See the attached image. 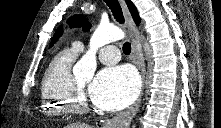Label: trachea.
Here are the masks:
<instances>
[{"label":"trachea","mask_w":221,"mask_h":128,"mask_svg":"<svg viewBox=\"0 0 221 128\" xmlns=\"http://www.w3.org/2000/svg\"><path fill=\"white\" fill-rule=\"evenodd\" d=\"M107 6L111 9L114 18L121 24L124 23V17L122 14L121 6L118 0H104ZM124 54H130L131 52V44L129 42H125L123 45Z\"/></svg>","instance_id":"obj_1"}]
</instances>
